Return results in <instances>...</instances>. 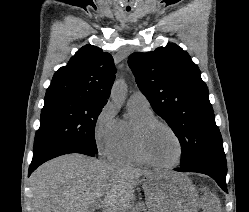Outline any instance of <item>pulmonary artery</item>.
Returning a JSON list of instances; mask_svg holds the SVG:
<instances>
[{
  "instance_id": "pulmonary-artery-1",
  "label": "pulmonary artery",
  "mask_w": 249,
  "mask_h": 212,
  "mask_svg": "<svg viewBox=\"0 0 249 212\" xmlns=\"http://www.w3.org/2000/svg\"><path fill=\"white\" fill-rule=\"evenodd\" d=\"M127 55V54H122ZM129 104L142 108H150V103L147 97L141 91H135L129 98Z\"/></svg>"
}]
</instances>
